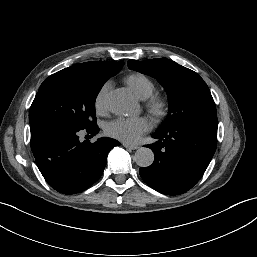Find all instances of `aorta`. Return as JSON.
I'll use <instances>...</instances> for the list:
<instances>
[{
  "mask_svg": "<svg viewBox=\"0 0 257 257\" xmlns=\"http://www.w3.org/2000/svg\"><path fill=\"white\" fill-rule=\"evenodd\" d=\"M105 104L112 113L117 115H133L138 110L133 96L125 88L109 91L105 97ZM134 160L138 166L148 167L154 161V153L149 148L141 147L135 152Z\"/></svg>",
  "mask_w": 257,
  "mask_h": 257,
  "instance_id": "obj_1",
  "label": "aorta"
}]
</instances>
